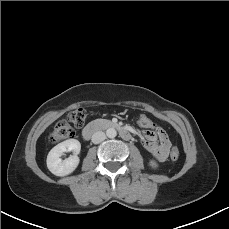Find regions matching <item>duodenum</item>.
<instances>
[{"label": "duodenum", "instance_id": "410a0bca", "mask_svg": "<svg viewBox=\"0 0 229 229\" xmlns=\"http://www.w3.org/2000/svg\"><path fill=\"white\" fill-rule=\"evenodd\" d=\"M108 128L117 129L120 135L125 139L129 140L131 138L130 133L127 131L126 128L120 126L118 123L109 122L105 125ZM102 125L99 123H91L87 125L83 131L82 136L84 139H90L95 133H97L101 129Z\"/></svg>", "mask_w": 229, "mask_h": 229}]
</instances>
